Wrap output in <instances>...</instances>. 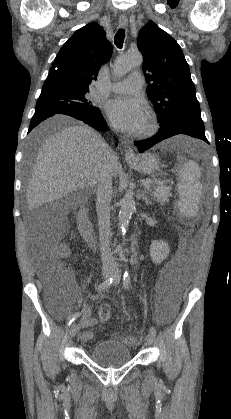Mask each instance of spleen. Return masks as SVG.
Wrapping results in <instances>:
<instances>
[{
    "mask_svg": "<svg viewBox=\"0 0 231 419\" xmlns=\"http://www.w3.org/2000/svg\"><path fill=\"white\" fill-rule=\"evenodd\" d=\"M178 176L179 211L186 217H193L198 212V203L201 196L200 168L195 161L189 160L183 164Z\"/></svg>",
    "mask_w": 231,
    "mask_h": 419,
    "instance_id": "1",
    "label": "spleen"
}]
</instances>
